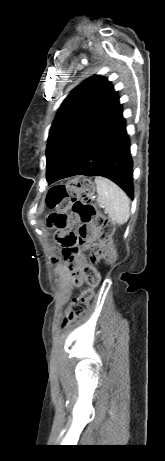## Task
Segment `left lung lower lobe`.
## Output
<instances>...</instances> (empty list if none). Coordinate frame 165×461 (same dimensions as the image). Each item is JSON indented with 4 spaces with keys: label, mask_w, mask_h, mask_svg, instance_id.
<instances>
[{
    "label": "left lung lower lobe",
    "mask_w": 165,
    "mask_h": 461,
    "mask_svg": "<svg viewBox=\"0 0 165 461\" xmlns=\"http://www.w3.org/2000/svg\"><path fill=\"white\" fill-rule=\"evenodd\" d=\"M75 175L106 177L133 198V162L118 97L78 141L48 183Z\"/></svg>",
    "instance_id": "obj_1"
}]
</instances>
